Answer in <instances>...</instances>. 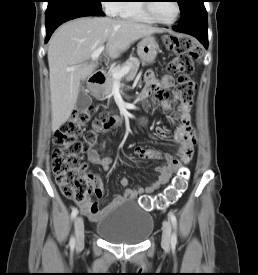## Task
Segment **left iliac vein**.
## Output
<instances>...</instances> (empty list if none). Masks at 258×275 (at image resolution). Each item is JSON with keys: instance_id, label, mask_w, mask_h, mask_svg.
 Returning <instances> with one entry per match:
<instances>
[{"instance_id": "obj_1", "label": "left iliac vein", "mask_w": 258, "mask_h": 275, "mask_svg": "<svg viewBox=\"0 0 258 275\" xmlns=\"http://www.w3.org/2000/svg\"><path fill=\"white\" fill-rule=\"evenodd\" d=\"M171 223L169 220L163 222V232H162V248L166 251L170 249V238H171Z\"/></svg>"}]
</instances>
